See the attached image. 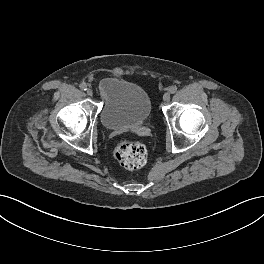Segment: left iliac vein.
I'll return each instance as SVG.
<instances>
[{"instance_id": "left-iliac-vein-1", "label": "left iliac vein", "mask_w": 264, "mask_h": 264, "mask_svg": "<svg viewBox=\"0 0 264 264\" xmlns=\"http://www.w3.org/2000/svg\"><path fill=\"white\" fill-rule=\"evenodd\" d=\"M170 100V93L169 92H166L164 95H163V101L164 102H168Z\"/></svg>"}]
</instances>
